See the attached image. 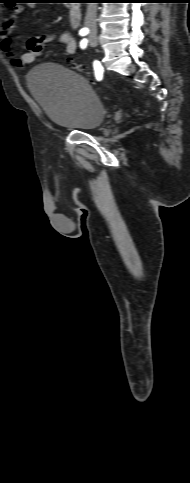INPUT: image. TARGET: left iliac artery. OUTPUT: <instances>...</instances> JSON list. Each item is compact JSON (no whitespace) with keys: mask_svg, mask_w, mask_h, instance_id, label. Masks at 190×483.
Listing matches in <instances>:
<instances>
[{"mask_svg":"<svg viewBox=\"0 0 190 483\" xmlns=\"http://www.w3.org/2000/svg\"><path fill=\"white\" fill-rule=\"evenodd\" d=\"M86 46H87V40H86V39H82V40L80 41V47H81L82 49H84V48H86Z\"/></svg>","mask_w":190,"mask_h":483,"instance_id":"obj_1","label":"left iliac artery"}]
</instances>
